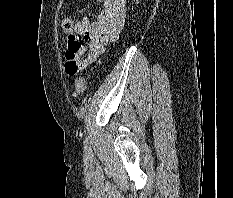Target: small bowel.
<instances>
[{
  "label": "small bowel",
  "mask_w": 233,
  "mask_h": 198,
  "mask_svg": "<svg viewBox=\"0 0 233 198\" xmlns=\"http://www.w3.org/2000/svg\"><path fill=\"white\" fill-rule=\"evenodd\" d=\"M126 19L125 0H102L97 20L87 18L76 22L68 40V52H73L79 70L94 63L105 46L121 33ZM74 43H79L74 47Z\"/></svg>",
  "instance_id": "c3829d8e"
}]
</instances>
